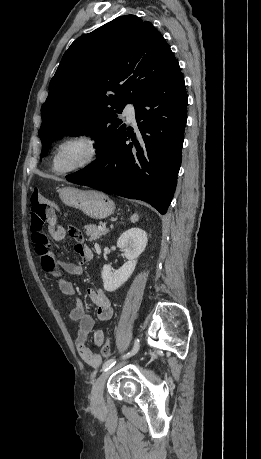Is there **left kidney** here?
Segmentation results:
<instances>
[{
	"mask_svg": "<svg viewBox=\"0 0 261 459\" xmlns=\"http://www.w3.org/2000/svg\"><path fill=\"white\" fill-rule=\"evenodd\" d=\"M147 233L140 228L125 231L117 241V246L124 251L128 260L120 269L114 270L109 265L102 269L103 286L106 291L113 292L123 285L135 270L137 259L147 245Z\"/></svg>",
	"mask_w": 261,
	"mask_h": 459,
	"instance_id": "obj_1",
	"label": "left kidney"
}]
</instances>
